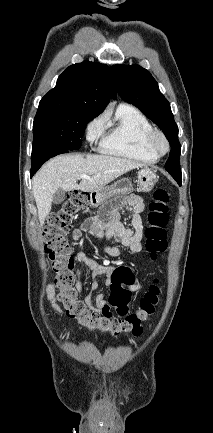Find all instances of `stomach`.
<instances>
[{"label":"stomach","instance_id":"0dacf381","mask_svg":"<svg viewBox=\"0 0 213 433\" xmlns=\"http://www.w3.org/2000/svg\"><path fill=\"white\" fill-rule=\"evenodd\" d=\"M137 189L141 192H150L158 176L154 171L145 167L138 172ZM133 190V184L129 178H121L110 186H105L97 191L90 192L89 203L92 206H103L108 204L109 200L117 195L126 194Z\"/></svg>","mask_w":213,"mask_h":433}]
</instances>
